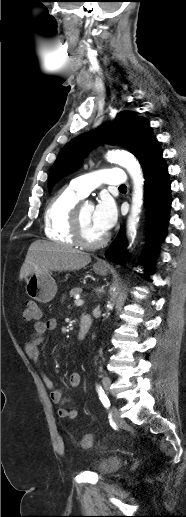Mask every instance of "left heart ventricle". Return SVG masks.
Here are the masks:
<instances>
[{
  "label": "left heart ventricle",
  "instance_id": "obj_1",
  "mask_svg": "<svg viewBox=\"0 0 186 517\" xmlns=\"http://www.w3.org/2000/svg\"><path fill=\"white\" fill-rule=\"evenodd\" d=\"M94 207L92 205H83L81 207V222L84 236L89 240H96L104 235L93 221Z\"/></svg>",
  "mask_w": 186,
  "mask_h": 517
}]
</instances>
